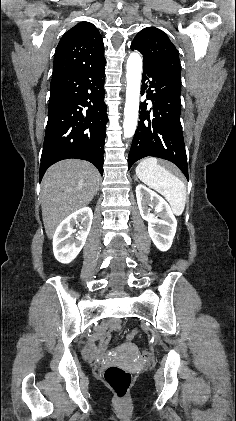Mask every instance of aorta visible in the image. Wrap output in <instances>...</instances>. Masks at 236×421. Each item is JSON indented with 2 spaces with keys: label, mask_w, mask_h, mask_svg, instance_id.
I'll list each match as a JSON object with an SVG mask.
<instances>
[{
  "label": "aorta",
  "mask_w": 236,
  "mask_h": 421,
  "mask_svg": "<svg viewBox=\"0 0 236 421\" xmlns=\"http://www.w3.org/2000/svg\"><path fill=\"white\" fill-rule=\"evenodd\" d=\"M126 102L124 106L123 134L125 138L133 136L138 120L142 58L138 52H131L127 58Z\"/></svg>",
  "instance_id": "1"
}]
</instances>
